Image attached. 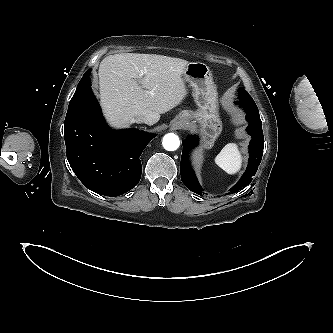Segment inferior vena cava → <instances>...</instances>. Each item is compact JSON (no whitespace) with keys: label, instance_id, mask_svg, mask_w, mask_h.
Returning a JSON list of instances; mask_svg holds the SVG:
<instances>
[{"label":"inferior vena cava","instance_id":"obj_1","mask_svg":"<svg viewBox=\"0 0 333 333\" xmlns=\"http://www.w3.org/2000/svg\"><path fill=\"white\" fill-rule=\"evenodd\" d=\"M134 122L136 123H146L148 124V119L144 116H138L134 119Z\"/></svg>","mask_w":333,"mask_h":333}]
</instances>
